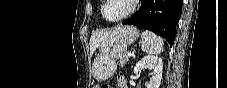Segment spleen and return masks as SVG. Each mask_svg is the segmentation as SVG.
I'll return each mask as SVG.
<instances>
[{
    "mask_svg": "<svg viewBox=\"0 0 227 88\" xmlns=\"http://www.w3.org/2000/svg\"><path fill=\"white\" fill-rule=\"evenodd\" d=\"M142 50L149 54H159L163 51V39L151 31H143L141 36Z\"/></svg>",
    "mask_w": 227,
    "mask_h": 88,
    "instance_id": "spleen-1",
    "label": "spleen"
}]
</instances>
